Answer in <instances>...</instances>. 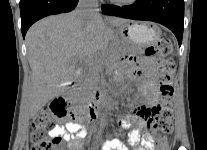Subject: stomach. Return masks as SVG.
Masks as SVG:
<instances>
[{"label":"stomach","instance_id":"obj_1","mask_svg":"<svg viewBox=\"0 0 207 150\" xmlns=\"http://www.w3.org/2000/svg\"><path fill=\"white\" fill-rule=\"evenodd\" d=\"M161 35V30L155 25L127 22L116 30V43L119 55L126 52L125 44L143 48L153 44Z\"/></svg>","mask_w":207,"mask_h":150}]
</instances>
